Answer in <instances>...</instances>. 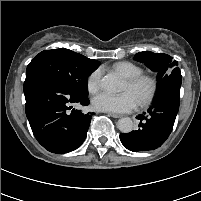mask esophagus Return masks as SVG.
Here are the masks:
<instances>
[{
  "mask_svg": "<svg viewBox=\"0 0 201 201\" xmlns=\"http://www.w3.org/2000/svg\"><path fill=\"white\" fill-rule=\"evenodd\" d=\"M107 114H108V116H111L113 118H120L121 117L120 114H115V113H107Z\"/></svg>",
  "mask_w": 201,
  "mask_h": 201,
  "instance_id": "1",
  "label": "esophagus"
}]
</instances>
